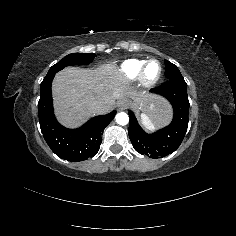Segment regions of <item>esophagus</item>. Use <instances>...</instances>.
I'll return each mask as SVG.
<instances>
[{
  "instance_id": "esophagus-1",
  "label": "esophagus",
  "mask_w": 236,
  "mask_h": 236,
  "mask_svg": "<svg viewBox=\"0 0 236 236\" xmlns=\"http://www.w3.org/2000/svg\"><path fill=\"white\" fill-rule=\"evenodd\" d=\"M130 104V101L126 98H120L118 101H117V106L119 108V110H125L128 108Z\"/></svg>"
}]
</instances>
